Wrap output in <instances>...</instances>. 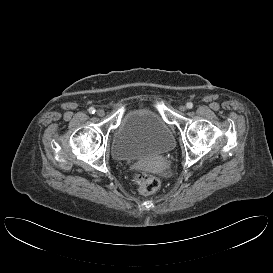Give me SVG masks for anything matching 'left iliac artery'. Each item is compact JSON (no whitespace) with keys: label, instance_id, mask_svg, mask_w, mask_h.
<instances>
[{"label":"left iliac artery","instance_id":"1","mask_svg":"<svg viewBox=\"0 0 273 273\" xmlns=\"http://www.w3.org/2000/svg\"><path fill=\"white\" fill-rule=\"evenodd\" d=\"M186 107H187L188 109H192V108H193V103H192V102H188V103L186 104Z\"/></svg>","mask_w":273,"mask_h":273}]
</instances>
